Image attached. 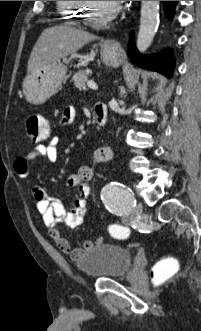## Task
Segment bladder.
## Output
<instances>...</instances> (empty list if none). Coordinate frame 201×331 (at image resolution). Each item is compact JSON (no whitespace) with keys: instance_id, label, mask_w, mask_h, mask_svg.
I'll use <instances>...</instances> for the list:
<instances>
[{"instance_id":"1","label":"bladder","mask_w":201,"mask_h":331,"mask_svg":"<svg viewBox=\"0 0 201 331\" xmlns=\"http://www.w3.org/2000/svg\"><path fill=\"white\" fill-rule=\"evenodd\" d=\"M133 257V253L125 247L114 243H101L80 258L76 267L89 278H120L130 269Z\"/></svg>"}]
</instances>
